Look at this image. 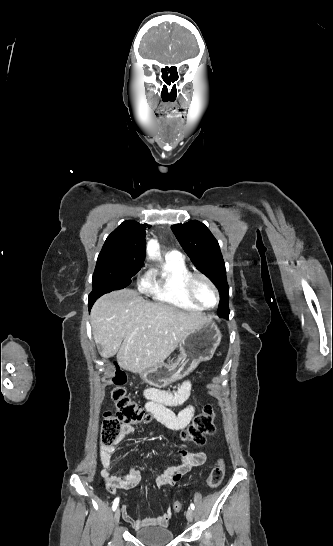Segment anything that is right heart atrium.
I'll use <instances>...</instances> for the list:
<instances>
[{"label":"right heart atrium","instance_id":"right-heart-atrium-1","mask_svg":"<svg viewBox=\"0 0 333 546\" xmlns=\"http://www.w3.org/2000/svg\"><path fill=\"white\" fill-rule=\"evenodd\" d=\"M137 288L142 293H151L154 288V278L151 269H145L138 277L136 282Z\"/></svg>","mask_w":333,"mask_h":546}]
</instances>
